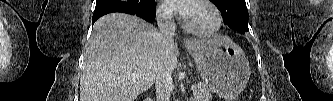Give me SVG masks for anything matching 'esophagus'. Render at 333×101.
<instances>
[{
  "label": "esophagus",
  "mask_w": 333,
  "mask_h": 101,
  "mask_svg": "<svg viewBox=\"0 0 333 101\" xmlns=\"http://www.w3.org/2000/svg\"><path fill=\"white\" fill-rule=\"evenodd\" d=\"M183 43H184V45H189L190 44V40L189 39H184Z\"/></svg>",
  "instance_id": "obj_1"
}]
</instances>
